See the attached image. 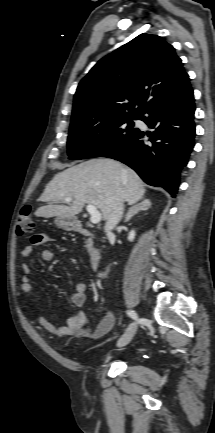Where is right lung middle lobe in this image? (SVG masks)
Returning a JSON list of instances; mask_svg holds the SVG:
<instances>
[{"label":"right lung middle lobe","instance_id":"obj_1","mask_svg":"<svg viewBox=\"0 0 215 433\" xmlns=\"http://www.w3.org/2000/svg\"><path fill=\"white\" fill-rule=\"evenodd\" d=\"M141 116H123L101 122L71 125L68 137L69 159L101 157L118 149L139 133L133 120Z\"/></svg>","mask_w":215,"mask_h":433}]
</instances>
